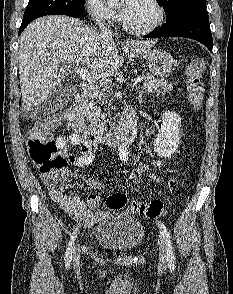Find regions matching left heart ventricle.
Segmentation results:
<instances>
[{"label":"left heart ventricle","mask_w":233,"mask_h":294,"mask_svg":"<svg viewBox=\"0 0 233 294\" xmlns=\"http://www.w3.org/2000/svg\"><path fill=\"white\" fill-rule=\"evenodd\" d=\"M127 23L136 28L150 25L156 18V10L147 0H135L124 15Z\"/></svg>","instance_id":"b2bd125f"}]
</instances>
